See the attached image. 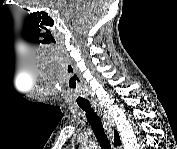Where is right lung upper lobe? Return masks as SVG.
Here are the masks:
<instances>
[{
    "instance_id": "1",
    "label": "right lung upper lobe",
    "mask_w": 177,
    "mask_h": 149,
    "mask_svg": "<svg viewBox=\"0 0 177 149\" xmlns=\"http://www.w3.org/2000/svg\"><path fill=\"white\" fill-rule=\"evenodd\" d=\"M114 140L115 145H120V136L117 131H114Z\"/></svg>"
}]
</instances>
